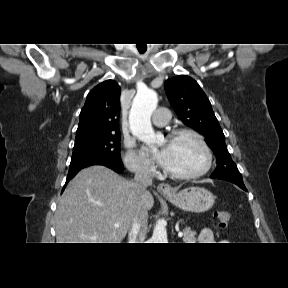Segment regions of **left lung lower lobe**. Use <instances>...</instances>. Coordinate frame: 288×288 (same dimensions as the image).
<instances>
[{"mask_svg": "<svg viewBox=\"0 0 288 288\" xmlns=\"http://www.w3.org/2000/svg\"><path fill=\"white\" fill-rule=\"evenodd\" d=\"M232 183H234V182H232ZM234 184L238 185L240 188H242L243 190L247 191L244 183H234Z\"/></svg>", "mask_w": 288, "mask_h": 288, "instance_id": "1", "label": "left lung lower lobe"}]
</instances>
